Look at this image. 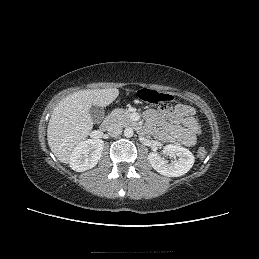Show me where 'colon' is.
I'll return each mask as SVG.
<instances>
[{"mask_svg":"<svg viewBox=\"0 0 259 259\" xmlns=\"http://www.w3.org/2000/svg\"><path fill=\"white\" fill-rule=\"evenodd\" d=\"M138 95V98L140 100H142L143 102L145 103H148V104H168L170 102H172L174 100V97L168 93H165V92H160V91H157V90H152V89H141L140 91H138L137 93ZM177 104H182V99H177ZM192 123L193 125H195V136L197 138V140H202L203 136L201 134V129H200V124H198L199 122V119L198 117H193L192 119ZM207 155V151L204 149V148H199L198 151H197V156L200 158V159H204Z\"/></svg>","mask_w":259,"mask_h":259,"instance_id":"colon-1","label":"colon"}]
</instances>
